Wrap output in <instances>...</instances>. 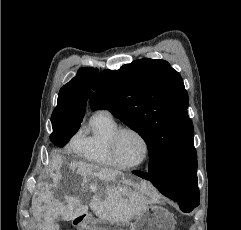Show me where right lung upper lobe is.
<instances>
[{"instance_id": "cb5924a9", "label": "right lung upper lobe", "mask_w": 241, "mask_h": 230, "mask_svg": "<svg viewBox=\"0 0 241 230\" xmlns=\"http://www.w3.org/2000/svg\"><path fill=\"white\" fill-rule=\"evenodd\" d=\"M98 73L97 68L84 67L59 92L57 107L54 109L51 121H66L81 124L85 115L87 99L91 86Z\"/></svg>"}]
</instances>
